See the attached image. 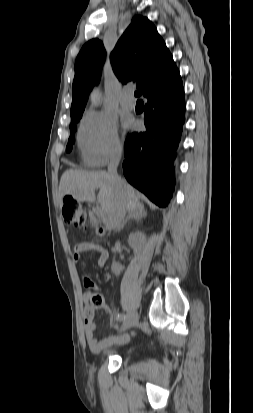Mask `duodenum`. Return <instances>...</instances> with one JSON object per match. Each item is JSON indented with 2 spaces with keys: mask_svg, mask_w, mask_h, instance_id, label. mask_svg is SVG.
I'll return each instance as SVG.
<instances>
[{
  "mask_svg": "<svg viewBox=\"0 0 253 413\" xmlns=\"http://www.w3.org/2000/svg\"><path fill=\"white\" fill-rule=\"evenodd\" d=\"M91 213H92V214L94 213V209H91Z\"/></svg>",
  "mask_w": 253,
  "mask_h": 413,
  "instance_id": "410a0bca",
  "label": "duodenum"
}]
</instances>
